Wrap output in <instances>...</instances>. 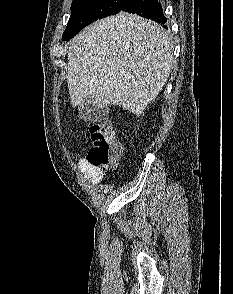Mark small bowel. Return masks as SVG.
Segmentation results:
<instances>
[{
    "mask_svg": "<svg viewBox=\"0 0 233 294\" xmlns=\"http://www.w3.org/2000/svg\"><path fill=\"white\" fill-rule=\"evenodd\" d=\"M79 166L94 183L101 180L102 172L89 165L86 159L80 160Z\"/></svg>",
    "mask_w": 233,
    "mask_h": 294,
    "instance_id": "c3829d8e",
    "label": "small bowel"
}]
</instances>
